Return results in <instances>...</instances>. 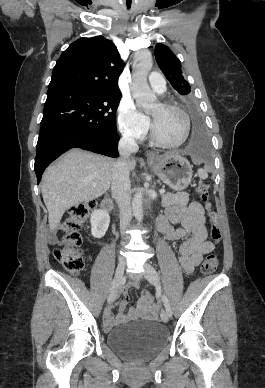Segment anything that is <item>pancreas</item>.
<instances>
[{
  "label": "pancreas",
  "instance_id": "cf45deb5",
  "mask_svg": "<svg viewBox=\"0 0 265 388\" xmlns=\"http://www.w3.org/2000/svg\"><path fill=\"white\" fill-rule=\"evenodd\" d=\"M162 206H173V204H180V206H187L189 202V194L186 192H178V194H161Z\"/></svg>",
  "mask_w": 265,
  "mask_h": 388
}]
</instances>
